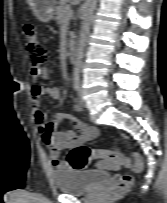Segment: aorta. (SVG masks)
Returning a JSON list of instances; mask_svg holds the SVG:
<instances>
[{
	"label": "aorta",
	"mask_w": 167,
	"mask_h": 203,
	"mask_svg": "<svg viewBox=\"0 0 167 203\" xmlns=\"http://www.w3.org/2000/svg\"><path fill=\"white\" fill-rule=\"evenodd\" d=\"M97 0H86L84 4L83 22L80 30L78 45L75 55V71L79 73L82 65V58L88 37L90 34V28L94 18V10L96 8Z\"/></svg>",
	"instance_id": "obj_1"
}]
</instances>
